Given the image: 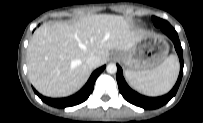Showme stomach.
<instances>
[{
	"label": "stomach",
	"mask_w": 203,
	"mask_h": 123,
	"mask_svg": "<svg viewBox=\"0 0 203 123\" xmlns=\"http://www.w3.org/2000/svg\"><path fill=\"white\" fill-rule=\"evenodd\" d=\"M169 45L157 34H145L130 50L117 54L127 70L148 71L161 65L167 58Z\"/></svg>",
	"instance_id": "stomach-1"
}]
</instances>
